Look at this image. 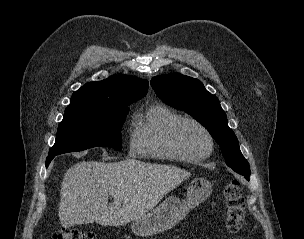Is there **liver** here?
Segmentation results:
<instances>
[{"mask_svg": "<svg viewBox=\"0 0 304 239\" xmlns=\"http://www.w3.org/2000/svg\"><path fill=\"white\" fill-rule=\"evenodd\" d=\"M191 174L170 165L83 161L64 174L60 191L62 226L96 222L120 226L149 211ZM114 200L108 204V197Z\"/></svg>", "mask_w": 304, "mask_h": 239, "instance_id": "obj_1", "label": "liver"}]
</instances>
